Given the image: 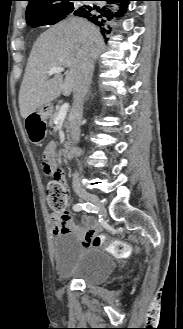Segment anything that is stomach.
<instances>
[{
	"mask_svg": "<svg viewBox=\"0 0 183 329\" xmlns=\"http://www.w3.org/2000/svg\"><path fill=\"white\" fill-rule=\"evenodd\" d=\"M52 112H53V106L52 104L49 103L41 106L37 114L40 115L41 118L46 119L52 114Z\"/></svg>",
	"mask_w": 183,
	"mask_h": 329,
	"instance_id": "stomach-1",
	"label": "stomach"
}]
</instances>
